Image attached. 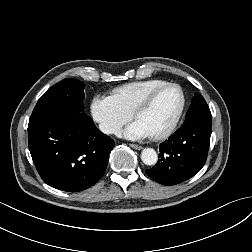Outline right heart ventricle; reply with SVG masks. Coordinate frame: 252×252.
Listing matches in <instances>:
<instances>
[{"label": "right heart ventricle", "mask_w": 252, "mask_h": 252, "mask_svg": "<svg viewBox=\"0 0 252 252\" xmlns=\"http://www.w3.org/2000/svg\"><path fill=\"white\" fill-rule=\"evenodd\" d=\"M162 79L134 81L114 88L111 97L125 110L133 112L136 105L154 88L166 83Z\"/></svg>", "instance_id": "obj_1"}]
</instances>
